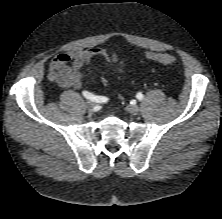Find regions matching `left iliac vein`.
Wrapping results in <instances>:
<instances>
[{
	"label": "left iliac vein",
	"mask_w": 222,
	"mask_h": 219,
	"mask_svg": "<svg viewBox=\"0 0 222 219\" xmlns=\"http://www.w3.org/2000/svg\"><path fill=\"white\" fill-rule=\"evenodd\" d=\"M129 112L133 115H137L140 111V108L137 105H131L129 106Z\"/></svg>",
	"instance_id": "4c4485c4"
}]
</instances>
